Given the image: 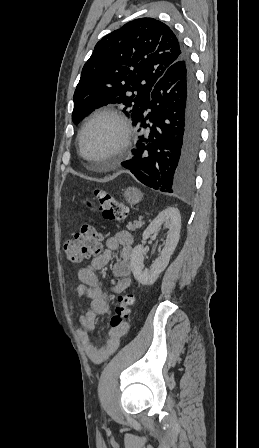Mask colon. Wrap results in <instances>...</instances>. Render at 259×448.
Returning a JSON list of instances; mask_svg holds the SVG:
<instances>
[{
	"label": "colon",
	"instance_id": "colon-1",
	"mask_svg": "<svg viewBox=\"0 0 259 448\" xmlns=\"http://www.w3.org/2000/svg\"><path fill=\"white\" fill-rule=\"evenodd\" d=\"M95 201L87 200V205L94 211L111 221H121L128 215V207L109 192L101 189L94 190ZM100 234L90 224H83L81 230L65 243L68 261L80 263L90 255L100 251ZM132 293H122L117 297V304L111 315V327H120L126 323L131 306L134 304Z\"/></svg>",
	"mask_w": 259,
	"mask_h": 448
}]
</instances>
